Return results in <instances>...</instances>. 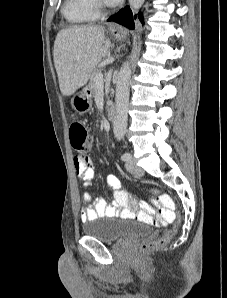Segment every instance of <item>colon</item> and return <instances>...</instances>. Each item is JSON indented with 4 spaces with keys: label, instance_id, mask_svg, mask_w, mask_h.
Segmentation results:
<instances>
[{
    "label": "colon",
    "instance_id": "colon-1",
    "mask_svg": "<svg viewBox=\"0 0 227 298\" xmlns=\"http://www.w3.org/2000/svg\"><path fill=\"white\" fill-rule=\"evenodd\" d=\"M70 141L75 150L89 151L92 146V135L88 127L82 122H73L69 129ZM154 195H158L160 203L164 206L165 219L172 221L175 218L174 203L167 195H159V191L154 189ZM153 223H159L158 220L153 219ZM175 235V229L167 231L161 238L150 243L143 244L140 247L142 253L156 250L167 244Z\"/></svg>",
    "mask_w": 227,
    "mask_h": 298
}]
</instances>
